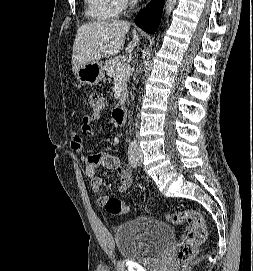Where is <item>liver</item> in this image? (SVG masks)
Wrapping results in <instances>:
<instances>
[{
	"instance_id": "liver-1",
	"label": "liver",
	"mask_w": 253,
	"mask_h": 271,
	"mask_svg": "<svg viewBox=\"0 0 253 271\" xmlns=\"http://www.w3.org/2000/svg\"><path fill=\"white\" fill-rule=\"evenodd\" d=\"M130 29L128 21L103 20L82 25L77 30L73 45L72 70L77 71L87 63L97 62L101 58L119 53L124 46L125 35ZM133 40L126 47L130 54L139 44L135 29L132 31Z\"/></svg>"
}]
</instances>
